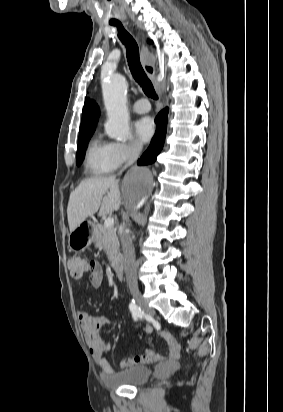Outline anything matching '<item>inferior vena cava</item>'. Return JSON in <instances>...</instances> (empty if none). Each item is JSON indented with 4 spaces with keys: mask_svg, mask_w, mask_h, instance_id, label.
<instances>
[{
    "mask_svg": "<svg viewBox=\"0 0 283 412\" xmlns=\"http://www.w3.org/2000/svg\"><path fill=\"white\" fill-rule=\"evenodd\" d=\"M141 152V147L140 146H135L132 149V152L124 166V169L127 167L131 166L136 162L138 159L139 155ZM121 244H122V250H123V256H124V270L126 274V279L127 283L131 287H136L137 286V278H136V261H135V251L134 247L132 244V239L129 234V230L125 224V222L122 223L121 229L119 232Z\"/></svg>",
    "mask_w": 283,
    "mask_h": 412,
    "instance_id": "602c4592",
    "label": "inferior vena cava"
}]
</instances>
